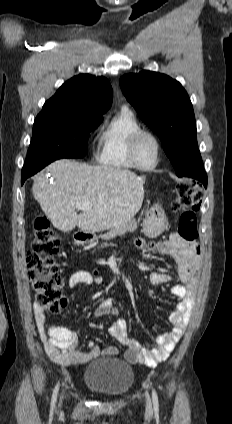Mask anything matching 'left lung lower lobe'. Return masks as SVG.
I'll list each match as a JSON object with an SVG mask.
<instances>
[{
	"label": "left lung lower lobe",
	"instance_id": "0a47b994",
	"mask_svg": "<svg viewBox=\"0 0 232 424\" xmlns=\"http://www.w3.org/2000/svg\"><path fill=\"white\" fill-rule=\"evenodd\" d=\"M181 176L195 178L200 183H202L205 188L207 187V175L202 162L195 164L193 167L185 171Z\"/></svg>",
	"mask_w": 232,
	"mask_h": 424
}]
</instances>
